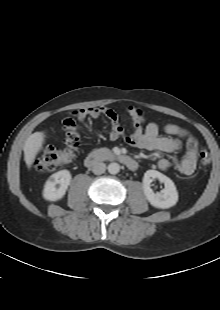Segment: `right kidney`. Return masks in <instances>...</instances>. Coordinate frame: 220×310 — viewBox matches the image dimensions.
Segmentation results:
<instances>
[{
    "instance_id": "1",
    "label": "right kidney",
    "mask_w": 220,
    "mask_h": 310,
    "mask_svg": "<svg viewBox=\"0 0 220 310\" xmlns=\"http://www.w3.org/2000/svg\"><path fill=\"white\" fill-rule=\"evenodd\" d=\"M70 181L71 173L66 169L52 174L44 185V199L49 201H58L62 199L70 185Z\"/></svg>"
}]
</instances>
